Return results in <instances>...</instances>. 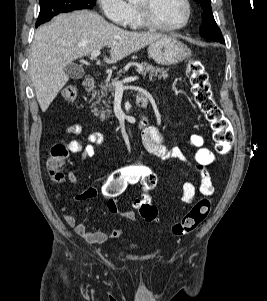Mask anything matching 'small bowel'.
I'll return each mask as SVG.
<instances>
[{
	"instance_id": "c3829d8e",
	"label": "small bowel",
	"mask_w": 267,
	"mask_h": 301,
	"mask_svg": "<svg viewBox=\"0 0 267 301\" xmlns=\"http://www.w3.org/2000/svg\"><path fill=\"white\" fill-rule=\"evenodd\" d=\"M65 132L69 135L79 136L83 132V127L80 123H73L66 127ZM103 141L104 137L100 132H91L84 140L73 139L65 142V144L72 153L80 154L81 162H85L87 159L94 156L96 147L102 145ZM141 143L144 149L150 154L164 160H177L187 163L198 172L200 177L198 187L192 181H186L183 184V202H193L198 196V192L205 196H210L214 193L215 187L207 167L210 164L216 163V157L213 151L205 146V139L201 134L192 135L186 143L187 147L193 150L191 159L187 157L177 144L167 145L165 142V135L155 126H147L141 130ZM68 179L72 183L77 182V177L74 172H69ZM99 194L100 190L97 187H89L75 195L74 201L84 202L96 198ZM59 197L60 195L56 194L57 200H59ZM61 212L66 223L88 243L102 244L109 239L117 238L122 234V231L118 229L109 232L88 230L83 224L76 221L66 207L61 206ZM110 212L119 214L130 220H135V213L133 211H120L118 209V203L110 209Z\"/></svg>"
}]
</instances>
